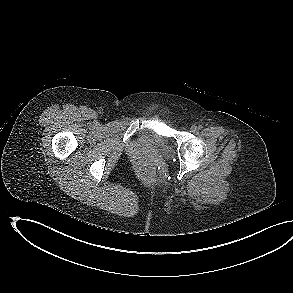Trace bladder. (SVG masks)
Segmentation results:
<instances>
[{
  "label": "bladder",
  "mask_w": 293,
  "mask_h": 293,
  "mask_svg": "<svg viewBox=\"0 0 293 293\" xmlns=\"http://www.w3.org/2000/svg\"><path fill=\"white\" fill-rule=\"evenodd\" d=\"M153 143L157 146L161 153L167 154L169 152L167 144L163 140H161L160 137L154 136Z\"/></svg>",
  "instance_id": "obj_1"
}]
</instances>
